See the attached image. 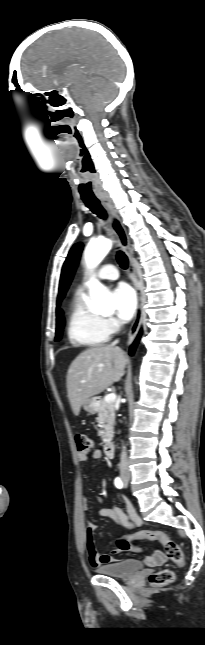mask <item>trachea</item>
<instances>
[{
	"label": "trachea",
	"instance_id": "trachea-1",
	"mask_svg": "<svg viewBox=\"0 0 205 645\" xmlns=\"http://www.w3.org/2000/svg\"><path fill=\"white\" fill-rule=\"evenodd\" d=\"M81 199L85 203L86 207H88L94 214H96L98 217L102 219L107 218V213L104 210V208L101 206L100 201L94 197V196H82ZM117 261L119 265L123 269H127L128 267V258L125 255L123 251H118L116 255Z\"/></svg>",
	"mask_w": 205,
	"mask_h": 645
}]
</instances>
